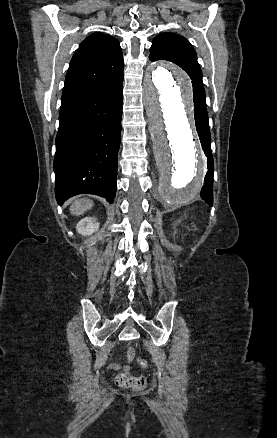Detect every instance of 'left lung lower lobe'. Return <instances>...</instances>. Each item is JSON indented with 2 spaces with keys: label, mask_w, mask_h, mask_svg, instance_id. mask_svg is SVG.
Listing matches in <instances>:
<instances>
[{
  "label": "left lung lower lobe",
  "mask_w": 277,
  "mask_h": 438,
  "mask_svg": "<svg viewBox=\"0 0 277 438\" xmlns=\"http://www.w3.org/2000/svg\"><path fill=\"white\" fill-rule=\"evenodd\" d=\"M195 112V123L196 129L202 144V149L205 152V155L208 157V172L205 176L204 186L202 187L200 196L202 199L207 202L210 206L213 204V171H214V162L211 154V136L209 131V123H208V115L207 113Z\"/></svg>",
  "instance_id": "1"
}]
</instances>
